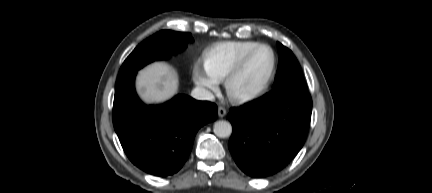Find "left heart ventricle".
I'll return each mask as SVG.
<instances>
[{"mask_svg": "<svg viewBox=\"0 0 432 193\" xmlns=\"http://www.w3.org/2000/svg\"><path fill=\"white\" fill-rule=\"evenodd\" d=\"M272 67V53L267 48L259 49L233 81V90L248 94L258 90L265 82Z\"/></svg>", "mask_w": 432, "mask_h": 193, "instance_id": "b2bd125f", "label": "left heart ventricle"}]
</instances>
